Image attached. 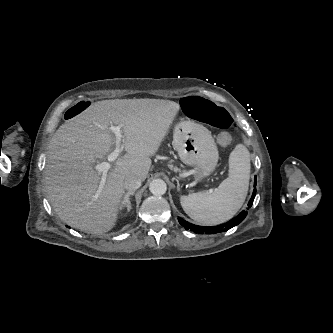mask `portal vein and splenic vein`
<instances>
[{
	"label": "portal vein and splenic vein",
	"instance_id": "1",
	"mask_svg": "<svg viewBox=\"0 0 333 333\" xmlns=\"http://www.w3.org/2000/svg\"><path fill=\"white\" fill-rule=\"evenodd\" d=\"M121 126H111L110 130L115 135V147L113 151L107 156L108 162H102L98 163L94 166V169L100 173H102L100 186L102 187L107 179V172L111 168V162L115 161L118 156L120 155L121 149H122V140L124 139V135L121 132Z\"/></svg>",
	"mask_w": 333,
	"mask_h": 333
}]
</instances>
